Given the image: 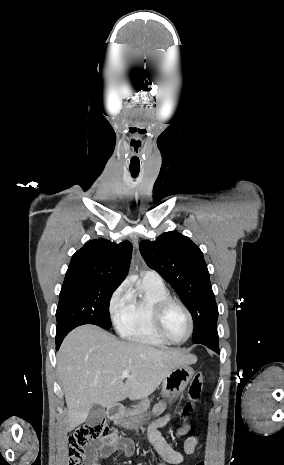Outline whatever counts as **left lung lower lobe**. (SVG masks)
I'll return each mask as SVG.
<instances>
[{
    "label": "left lung lower lobe",
    "instance_id": "0a47b994",
    "mask_svg": "<svg viewBox=\"0 0 284 465\" xmlns=\"http://www.w3.org/2000/svg\"><path fill=\"white\" fill-rule=\"evenodd\" d=\"M199 344H203L207 346L208 348L212 349L213 351H216L219 353V345H218V336L217 337H207L201 341H199Z\"/></svg>",
    "mask_w": 284,
    "mask_h": 465
}]
</instances>
